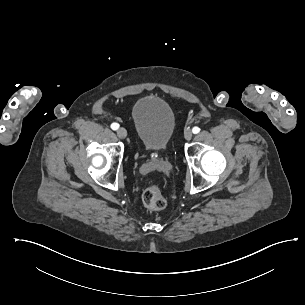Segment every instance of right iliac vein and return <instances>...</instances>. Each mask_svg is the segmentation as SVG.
Here are the masks:
<instances>
[{"mask_svg": "<svg viewBox=\"0 0 305 305\" xmlns=\"http://www.w3.org/2000/svg\"><path fill=\"white\" fill-rule=\"evenodd\" d=\"M117 135L119 138L124 139L127 136V131L121 127L117 130Z\"/></svg>", "mask_w": 305, "mask_h": 305, "instance_id": "right-iliac-vein-1", "label": "right iliac vein"}]
</instances>
